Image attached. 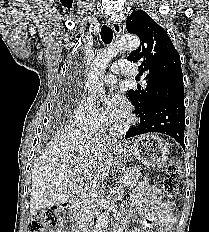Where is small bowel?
<instances>
[{"mask_svg": "<svg viewBox=\"0 0 209 232\" xmlns=\"http://www.w3.org/2000/svg\"><path fill=\"white\" fill-rule=\"evenodd\" d=\"M131 208L142 224L134 232H150L152 225L158 227V232H171L170 228L177 221L171 207L163 201L159 188L147 182L142 183L133 194ZM121 220L125 223L124 216Z\"/></svg>", "mask_w": 209, "mask_h": 232, "instance_id": "1", "label": "small bowel"}]
</instances>
